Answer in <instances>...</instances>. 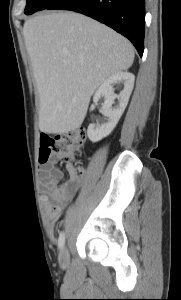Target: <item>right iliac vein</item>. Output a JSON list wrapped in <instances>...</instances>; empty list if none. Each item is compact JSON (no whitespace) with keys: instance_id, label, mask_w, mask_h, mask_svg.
Listing matches in <instances>:
<instances>
[{"instance_id":"obj_1","label":"right iliac vein","mask_w":181,"mask_h":300,"mask_svg":"<svg viewBox=\"0 0 181 300\" xmlns=\"http://www.w3.org/2000/svg\"><path fill=\"white\" fill-rule=\"evenodd\" d=\"M70 263L69 252L66 247L62 248L59 254V264L62 268H67Z\"/></svg>"}]
</instances>
